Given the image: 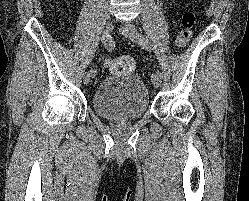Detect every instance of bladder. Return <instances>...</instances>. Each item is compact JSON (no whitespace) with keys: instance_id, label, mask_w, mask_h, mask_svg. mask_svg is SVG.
<instances>
[{"instance_id":"bladder-1","label":"bladder","mask_w":249,"mask_h":201,"mask_svg":"<svg viewBox=\"0 0 249 201\" xmlns=\"http://www.w3.org/2000/svg\"><path fill=\"white\" fill-rule=\"evenodd\" d=\"M92 106L95 113L102 118L134 120L148 111L149 96L142 78L138 75L109 76L97 85Z\"/></svg>"}]
</instances>
